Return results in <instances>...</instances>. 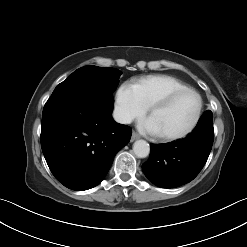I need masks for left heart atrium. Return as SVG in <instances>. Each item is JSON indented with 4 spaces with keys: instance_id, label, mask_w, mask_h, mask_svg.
Instances as JSON below:
<instances>
[{
    "instance_id": "left-heart-atrium-1",
    "label": "left heart atrium",
    "mask_w": 247,
    "mask_h": 247,
    "mask_svg": "<svg viewBox=\"0 0 247 247\" xmlns=\"http://www.w3.org/2000/svg\"><path fill=\"white\" fill-rule=\"evenodd\" d=\"M138 128L142 133L150 134V135H158V132L150 117L141 120L138 124Z\"/></svg>"
}]
</instances>
